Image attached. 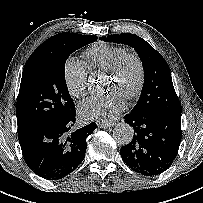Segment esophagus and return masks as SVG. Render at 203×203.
<instances>
[{"mask_svg":"<svg viewBox=\"0 0 203 203\" xmlns=\"http://www.w3.org/2000/svg\"><path fill=\"white\" fill-rule=\"evenodd\" d=\"M97 125H98L99 128H110V127H112L114 124H112V123L99 122Z\"/></svg>","mask_w":203,"mask_h":203,"instance_id":"obj_1","label":"esophagus"}]
</instances>
